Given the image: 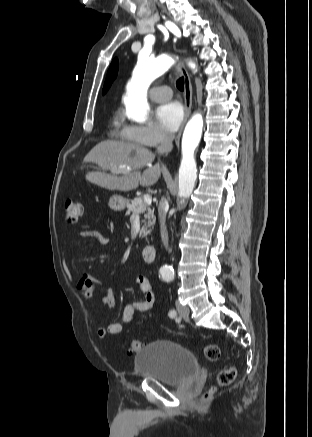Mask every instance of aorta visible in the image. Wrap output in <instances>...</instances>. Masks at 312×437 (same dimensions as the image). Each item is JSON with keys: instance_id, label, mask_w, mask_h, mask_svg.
<instances>
[{"instance_id": "762f6f07", "label": "aorta", "mask_w": 312, "mask_h": 437, "mask_svg": "<svg viewBox=\"0 0 312 437\" xmlns=\"http://www.w3.org/2000/svg\"><path fill=\"white\" fill-rule=\"evenodd\" d=\"M174 63L167 55L157 58H140L133 71V76L127 87V96L124 100L126 115L135 122L143 123L147 120L149 105L147 91L150 84L164 74ZM191 68L195 64L190 63ZM203 128V118L195 114L187 123L182 137V160L179 168L178 197L181 204L191 195L197 178V167L194 152L199 145ZM162 273H171L172 267L164 265Z\"/></svg>"}]
</instances>
